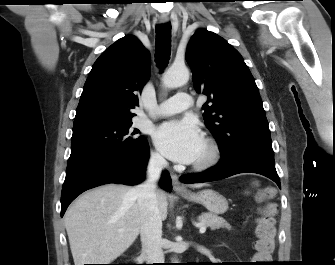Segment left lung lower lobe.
Here are the masks:
<instances>
[{"label":"left lung lower lobe","mask_w":335,"mask_h":265,"mask_svg":"<svg viewBox=\"0 0 335 265\" xmlns=\"http://www.w3.org/2000/svg\"><path fill=\"white\" fill-rule=\"evenodd\" d=\"M257 173L273 180L279 188L281 183L275 169L274 156L256 150H238L222 156L220 162L209 170L183 175L182 183H202L227 178L239 173Z\"/></svg>","instance_id":"left-lung-lower-lobe-1"}]
</instances>
